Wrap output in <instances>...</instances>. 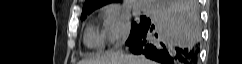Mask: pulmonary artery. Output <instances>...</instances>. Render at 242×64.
<instances>
[{
    "label": "pulmonary artery",
    "instance_id": "obj_1",
    "mask_svg": "<svg viewBox=\"0 0 242 64\" xmlns=\"http://www.w3.org/2000/svg\"><path fill=\"white\" fill-rule=\"evenodd\" d=\"M143 9H144V10H147V6H143Z\"/></svg>",
    "mask_w": 242,
    "mask_h": 64
}]
</instances>
